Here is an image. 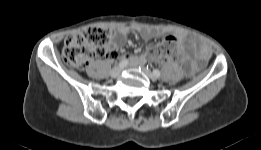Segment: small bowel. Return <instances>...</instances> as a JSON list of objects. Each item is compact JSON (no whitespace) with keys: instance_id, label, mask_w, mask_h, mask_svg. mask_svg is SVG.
<instances>
[{"instance_id":"obj_1","label":"small bowel","mask_w":261,"mask_h":150,"mask_svg":"<svg viewBox=\"0 0 261 150\" xmlns=\"http://www.w3.org/2000/svg\"><path fill=\"white\" fill-rule=\"evenodd\" d=\"M133 31L143 39L153 38L157 34L155 30L149 28L135 27L133 28ZM129 34H130V28L128 27H120L116 30L113 40L111 42V47L115 51L106 52L105 57L107 60L114 61L116 58L119 57L120 54L116 50L122 47L124 40L129 36ZM177 41L183 49L189 50L194 54V57L190 59V61H188V63H186L184 67L187 74H192L205 64L206 60L210 56V52L205 45L192 41H187L183 37H178ZM131 61L134 65L139 66L147 61V56L146 55L135 56L131 58Z\"/></svg>"}]
</instances>
